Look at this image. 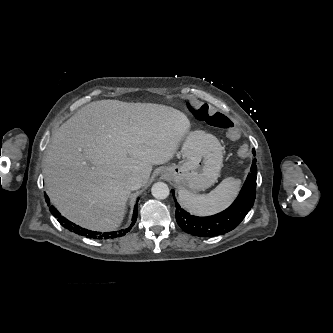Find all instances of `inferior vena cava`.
<instances>
[{
	"instance_id": "602c4592",
	"label": "inferior vena cava",
	"mask_w": 333,
	"mask_h": 333,
	"mask_svg": "<svg viewBox=\"0 0 333 333\" xmlns=\"http://www.w3.org/2000/svg\"><path fill=\"white\" fill-rule=\"evenodd\" d=\"M142 186V179L139 176H130L126 180V187L130 191L139 189Z\"/></svg>"
}]
</instances>
